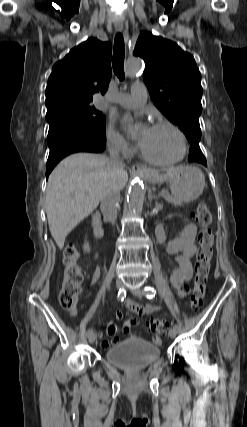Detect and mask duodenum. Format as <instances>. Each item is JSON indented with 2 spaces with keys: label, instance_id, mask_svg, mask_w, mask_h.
<instances>
[{
  "label": "duodenum",
  "instance_id": "duodenum-1",
  "mask_svg": "<svg viewBox=\"0 0 247 427\" xmlns=\"http://www.w3.org/2000/svg\"><path fill=\"white\" fill-rule=\"evenodd\" d=\"M92 227H93L94 235L97 238H101L103 236V234H104V231H103V228H102V225H101V220H100L99 213H95L92 216Z\"/></svg>",
  "mask_w": 247,
  "mask_h": 427
}]
</instances>
